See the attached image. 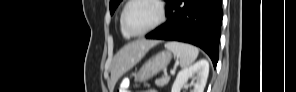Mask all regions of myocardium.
Returning <instances> with one entry per match:
<instances>
[{
  "mask_svg": "<svg viewBox=\"0 0 296 92\" xmlns=\"http://www.w3.org/2000/svg\"><path fill=\"white\" fill-rule=\"evenodd\" d=\"M136 1H142V0H130L126 3L122 13H121V25H122V28L123 30L130 36L132 37H140V36H144L148 33H150L151 31L155 30L156 28H158L165 20V15H166V12H165V7H164V4L162 1H159V0H145V1H150V2H153L157 8H158V11H159V16H158V19L157 21L151 25L149 28H147L146 30H143V31H140V32H133V31H130L127 27V24H126V12L129 8V6L133 3V2H136Z\"/></svg>",
  "mask_w": 296,
  "mask_h": 92,
  "instance_id": "obj_1",
  "label": "myocardium"
}]
</instances>
